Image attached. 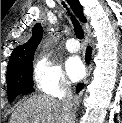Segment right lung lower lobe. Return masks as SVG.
Wrapping results in <instances>:
<instances>
[{"instance_id":"98d812e1","label":"right lung lower lobe","mask_w":122,"mask_h":123,"mask_svg":"<svg viewBox=\"0 0 122 123\" xmlns=\"http://www.w3.org/2000/svg\"><path fill=\"white\" fill-rule=\"evenodd\" d=\"M90 54H91V50L90 48L87 49V53H86V60L89 62L90 59ZM83 84H79L76 88L77 93L83 88Z\"/></svg>"}]
</instances>
